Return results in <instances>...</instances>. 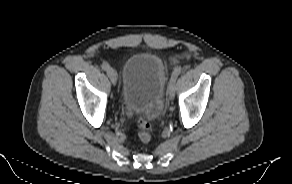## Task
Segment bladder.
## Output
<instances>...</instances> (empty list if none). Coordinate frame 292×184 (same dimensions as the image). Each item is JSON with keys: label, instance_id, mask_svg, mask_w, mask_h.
Listing matches in <instances>:
<instances>
[{"label": "bladder", "instance_id": "1", "mask_svg": "<svg viewBox=\"0 0 292 184\" xmlns=\"http://www.w3.org/2000/svg\"><path fill=\"white\" fill-rule=\"evenodd\" d=\"M167 69L153 53L132 55L125 63L121 83V101L129 112L157 119L162 110V97Z\"/></svg>", "mask_w": 292, "mask_h": 184}]
</instances>
